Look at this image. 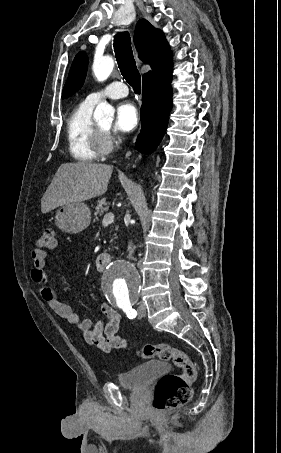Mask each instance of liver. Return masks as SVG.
Returning a JSON list of instances; mask_svg holds the SVG:
<instances>
[{
	"label": "liver",
	"mask_w": 281,
	"mask_h": 453,
	"mask_svg": "<svg viewBox=\"0 0 281 453\" xmlns=\"http://www.w3.org/2000/svg\"><path fill=\"white\" fill-rule=\"evenodd\" d=\"M112 174L110 164L98 162H65L41 198L42 212H50L68 202H84L101 196L107 190Z\"/></svg>",
	"instance_id": "obj_1"
}]
</instances>
